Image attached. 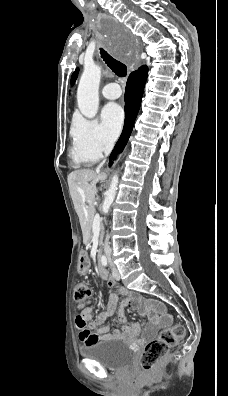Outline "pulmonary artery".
<instances>
[{
	"mask_svg": "<svg viewBox=\"0 0 228 396\" xmlns=\"http://www.w3.org/2000/svg\"><path fill=\"white\" fill-rule=\"evenodd\" d=\"M121 94L122 91L117 83H109L102 88V95L106 99H117Z\"/></svg>",
	"mask_w": 228,
	"mask_h": 396,
	"instance_id": "1",
	"label": "pulmonary artery"
}]
</instances>
